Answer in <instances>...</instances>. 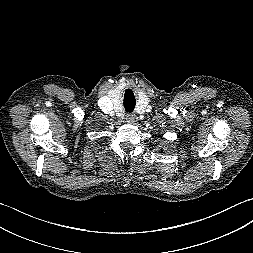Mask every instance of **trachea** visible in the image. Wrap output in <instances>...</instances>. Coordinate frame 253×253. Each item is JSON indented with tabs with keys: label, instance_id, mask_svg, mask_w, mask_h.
Instances as JSON below:
<instances>
[{
	"label": "trachea",
	"instance_id": "trachea-1",
	"mask_svg": "<svg viewBox=\"0 0 253 253\" xmlns=\"http://www.w3.org/2000/svg\"><path fill=\"white\" fill-rule=\"evenodd\" d=\"M124 106H125L126 112L131 113L134 110V107H135V100L133 102H130V103H124Z\"/></svg>",
	"mask_w": 253,
	"mask_h": 253
}]
</instances>
